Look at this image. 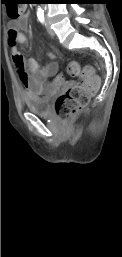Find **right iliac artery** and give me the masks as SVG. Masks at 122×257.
<instances>
[{"label": "right iliac artery", "instance_id": "1", "mask_svg": "<svg viewBox=\"0 0 122 257\" xmlns=\"http://www.w3.org/2000/svg\"><path fill=\"white\" fill-rule=\"evenodd\" d=\"M37 17H38V19H39V21L41 22V23H44L45 21V19H44V13L43 12H38L37 13Z\"/></svg>", "mask_w": 122, "mask_h": 257}]
</instances>
